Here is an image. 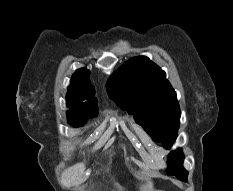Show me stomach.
Returning a JSON list of instances; mask_svg holds the SVG:
<instances>
[{
  "instance_id": "stomach-1",
  "label": "stomach",
  "mask_w": 233,
  "mask_h": 191,
  "mask_svg": "<svg viewBox=\"0 0 233 191\" xmlns=\"http://www.w3.org/2000/svg\"><path fill=\"white\" fill-rule=\"evenodd\" d=\"M154 182L152 180H148L144 185L139 187V191H154Z\"/></svg>"
}]
</instances>
